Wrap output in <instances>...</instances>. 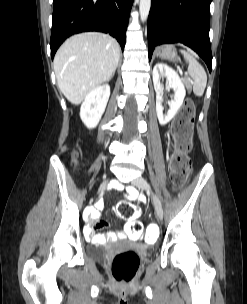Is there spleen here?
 <instances>
[{
  "instance_id": "spleen-1",
  "label": "spleen",
  "mask_w": 247,
  "mask_h": 304,
  "mask_svg": "<svg viewBox=\"0 0 247 304\" xmlns=\"http://www.w3.org/2000/svg\"><path fill=\"white\" fill-rule=\"evenodd\" d=\"M188 63V73L193 79V92L196 96H202L207 84V75L201 64L194 56L185 50H180Z\"/></svg>"
}]
</instances>
